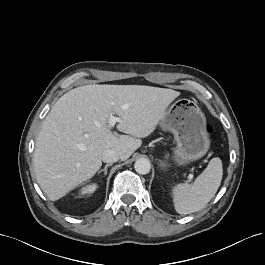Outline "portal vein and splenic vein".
<instances>
[{
  "mask_svg": "<svg viewBox=\"0 0 265 265\" xmlns=\"http://www.w3.org/2000/svg\"><path fill=\"white\" fill-rule=\"evenodd\" d=\"M117 122H122L121 118L113 116L112 114H110L109 119H108L109 126L114 127V125ZM191 179H192V175H190V177H189V180H191Z\"/></svg>",
  "mask_w": 265,
  "mask_h": 265,
  "instance_id": "obj_1",
  "label": "portal vein and splenic vein"
}]
</instances>
